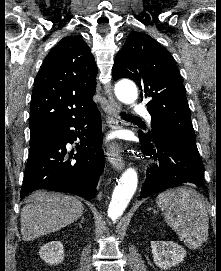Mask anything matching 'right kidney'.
<instances>
[{
  "mask_svg": "<svg viewBox=\"0 0 221 271\" xmlns=\"http://www.w3.org/2000/svg\"><path fill=\"white\" fill-rule=\"evenodd\" d=\"M41 259L50 265H58L64 259V245L61 241H48L39 249Z\"/></svg>",
  "mask_w": 221,
  "mask_h": 271,
  "instance_id": "ca27d5eb",
  "label": "right kidney"
}]
</instances>
